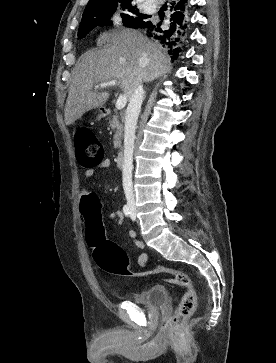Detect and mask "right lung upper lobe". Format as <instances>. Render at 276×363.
I'll return each instance as SVG.
<instances>
[{"mask_svg":"<svg viewBox=\"0 0 276 363\" xmlns=\"http://www.w3.org/2000/svg\"><path fill=\"white\" fill-rule=\"evenodd\" d=\"M113 1H123V2H131L132 3L134 0H90L89 3H88V5L86 6V8L89 7V6H92V5L106 3V2H113ZM144 17H145V15H144ZM145 19H146V17H145ZM145 19H144V22H146Z\"/></svg>","mask_w":276,"mask_h":363,"instance_id":"obj_1","label":"right lung upper lobe"}]
</instances>
